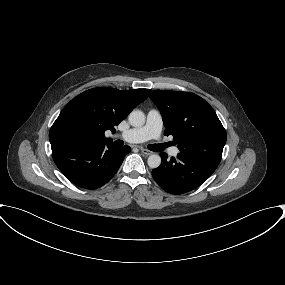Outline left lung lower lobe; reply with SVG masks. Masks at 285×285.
Instances as JSON below:
<instances>
[{
	"mask_svg": "<svg viewBox=\"0 0 285 285\" xmlns=\"http://www.w3.org/2000/svg\"><path fill=\"white\" fill-rule=\"evenodd\" d=\"M161 165L152 171L158 185L168 193L182 194L204 183L219 164L197 156L178 153L177 158L167 159L160 153Z\"/></svg>",
	"mask_w": 285,
	"mask_h": 285,
	"instance_id": "left-lung-lower-lobe-1",
	"label": "left lung lower lobe"
}]
</instances>
